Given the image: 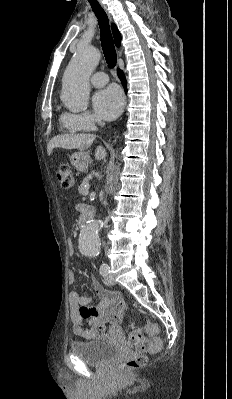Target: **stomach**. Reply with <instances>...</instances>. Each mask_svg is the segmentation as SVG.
Segmentation results:
<instances>
[{"mask_svg":"<svg viewBox=\"0 0 232 399\" xmlns=\"http://www.w3.org/2000/svg\"><path fill=\"white\" fill-rule=\"evenodd\" d=\"M70 162L75 170L85 172V170H88L90 164V156L87 152H76V154H72Z\"/></svg>","mask_w":232,"mask_h":399,"instance_id":"1","label":"stomach"}]
</instances>
